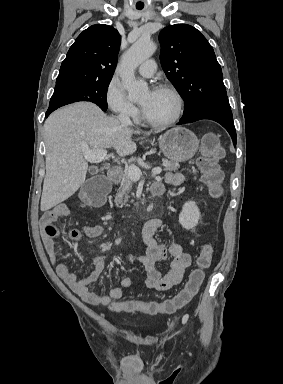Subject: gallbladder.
<instances>
[{"instance_id":"obj_1","label":"gallbladder","mask_w":283,"mask_h":384,"mask_svg":"<svg viewBox=\"0 0 283 384\" xmlns=\"http://www.w3.org/2000/svg\"><path fill=\"white\" fill-rule=\"evenodd\" d=\"M92 171L93 172H100L101 171V166L100 165H93L92 166Z\"/></svg>"}]
</instances>
